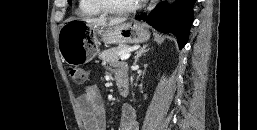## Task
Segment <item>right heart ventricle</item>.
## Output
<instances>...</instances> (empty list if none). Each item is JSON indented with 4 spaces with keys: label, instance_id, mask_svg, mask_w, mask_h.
<instances>
[{
    "label": "right heart ventricle",
    "instance_id": "1",
    "mask_svg": "<svg viewBox=\"0 0 257 130\" xmlns=\"http://www.w3.org/2000/svg\"><path fill=\"white\" fill-rule=\"evenodd\" d=\"M76 12L80 16H96L102 13L91 0H78Z\"/></svg>",
    "mask_w": 257,
    "mask_h": 130
}]
</instances>
